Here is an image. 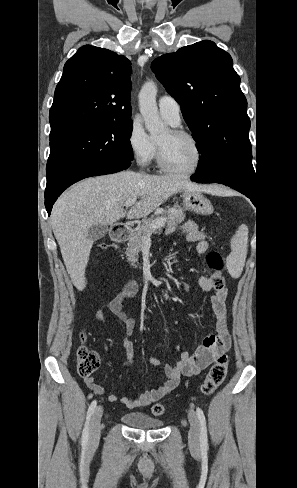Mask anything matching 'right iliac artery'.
<instances>
[{"mask_svg": "<svg viewBox=\"0 0 297 488\" xmlns=\"http://www.w3.org/2000/svg\"><path fill=\"white\" fill-rule=\"evenodd\" d=\"M96 405H97V401L96 400L92 401V403L89 406L88 412H87L86 422H85V426H84L83 434H82V442L84 444L88 442V438H89V421H90L91 416L93 415V413L95 411Z\"/></svg>", "mask_w": 297, "mask_h": 488, "instance_id": "82829eb1", "label": "right iliac artery"}]
</instances>
